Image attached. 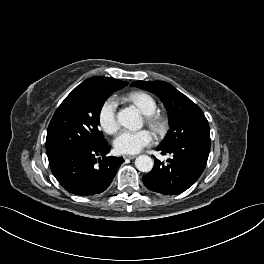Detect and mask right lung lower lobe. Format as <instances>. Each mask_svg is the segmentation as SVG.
Instances as JSON below:
<instances>
[{
	"instance_id": "right-lung-lower-lobe-1",
	"label": "right lung lower lobe",
	"mask_w": 264,
	"mask_h": 264,
	"mask_svg": "<svg viewBox=\"0 0 264 264\" xmlns=\"http://www.w3.org/2000/svg\"><path fill=\"white\" fill-rule=\"evenodd\" d=\"M110 146H72L48 156L51 171L68 192L90 196L100 194L111 184L122 157L106 156Z\"/></svg>"
}]
</instances>
